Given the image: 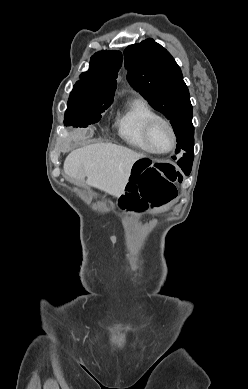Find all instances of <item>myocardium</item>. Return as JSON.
Here are the masks:
<instances>
[{"instance_id": "1", "label": "myocardium", "mask_w": 248, "mask_h": 389, "mask_svg": "<svg viewBox=\"0 0 248 389\" xmlns=\"http://www.w3.org/2000/svg\"><path fill=\"white\" fill-rule=\"evenodd\" d=\"M157 124L164 125L169 132L170 147L167 150H163V151L156 150L151 145V133ZM143 137H144V141H145L149 151L151 153H154V154H159V155L167 154V153L171 152L176 145V136H175V132H174V128H173L172 124L168 120H166L165 118L158 116V115L153 117L152 119H150L146 123V125L144 127V131H143Z\"/></svg>"}]
</instances>
